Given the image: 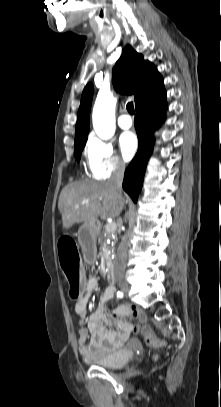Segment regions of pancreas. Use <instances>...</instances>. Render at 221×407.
<instances>
[{
    "mask_svg": "<svg viewBox=\"0 0 221 407\" xmlns=\"http://www.w3.org/2000/svg\"><path fill=\"white\" fill-rule=\"evenodd\" d=\"M111 236V233H108L107 231L102 232L101 236H100V240H99V244L101 245V248L103 249V253H104V258L106 260L107 266H109V262H110V256L108 254V250L104 244V240L106 238H109Z\"/></svg>",
    "mask_w": 221,
    "mask_h": 407,
    "instance_id": "pancreas-1",
    "label": "pancreas"
}]
</instances>
